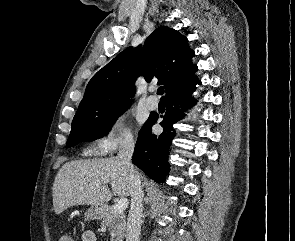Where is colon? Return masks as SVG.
<instances>
[{
  "label": "colon",
  "mask_w": 295,
  "mask_h": 241,
  "mask_svg": "<svg viewBox=\"0 0 295 241\" xmlns=\"http://www.w3.org/2000/svg\"><path fill=\"white\" fill-rule=\"evenodd\" d=\"M65 241H73L72 238L68 235H64Z\"/></svg>",
  "instance_id": "5ec220e1"
}]
</instances>
